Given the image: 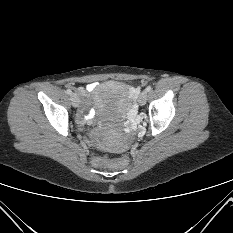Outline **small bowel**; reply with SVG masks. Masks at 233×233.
<instances>
[{
    "instance_id": "obj_1",
    "label": "small bowel",
    "mask_w": 233,
    "mask_h": 233,
    "mask_svg": "<svg viewBox=\"0 0 233 233\" xmlns=\"http://www.w3.org/2000/svg\"><path fill=\"white\" fill-rule=\"evenodd\" d=\"M97 86L96 82L90 83L86 86V88L81 89L80 93H82L84 96L88 97L91 92L95 89V87ZM93 118V111L90 110L88 111L85 115H83L82 119L84 121H90Z\"/></svg>"
}]
</instances>
